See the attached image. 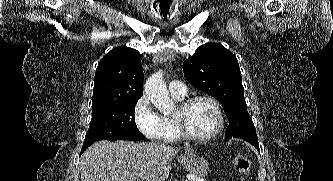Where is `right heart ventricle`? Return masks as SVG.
Wrapping results in <instances>:
<instances>
[{"instance_id":"right-heart-ventricle-1","label":"right heart ventricle","mask_w":333,"mask_h":181,"mask_svg":"<svg viewBox=\"0 0 333 181\" xmlns=\"http://www.w3.org/2000/svg\"><path fill=\"white\" fill-rule=\"evenodd\" d=\"M173 98L176 100V101H182L184 99V97H176V96H173ZM172 125H173V130H172V133L171 135L167 138V140H177L180 138V131H179V128L176 124V122L172 119H168Z\"/></svg>"}]
</instances>
